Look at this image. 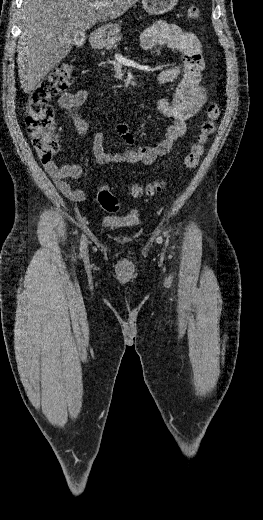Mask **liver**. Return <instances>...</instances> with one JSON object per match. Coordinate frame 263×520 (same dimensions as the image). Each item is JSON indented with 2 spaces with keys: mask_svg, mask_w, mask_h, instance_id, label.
I'll list each match as a JSON object with an SVG mask.
<instances>
[{
  "mask_svg": "<svg viewBox=\"0 0 263 520\" xmlns=\"http://www.w3.org/2000/svg\"><path fill=\"white\" fill-rule=\"evenodd\" d=\"M105 5L95 8L94 4ZM138 0H24L22 33L17 46L18 75L25 93L71 51L70 31L91 29L98 22L121 17Z\"/></svg>",
  "mask_w": 263,
  "mask_h": 520,
  "instance_id": "liver-1",
  "label": "liver"
}]
</instances>
